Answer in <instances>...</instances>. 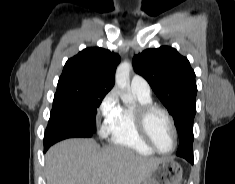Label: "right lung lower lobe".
<instances>
[{"label":"right lung lower lobe","instance_id":"right-lung-lower-lobe-1","mask_svg":"<svg viewBox=\"0 0 235 184\" xmlns=\"http://www.w3.org/2000/svg\"><path fill=\"white\" fill-rule=\"evenodd\" d=\"M85 128L76 121L66 117L64 114L53 113L51 111L50 120L44 136V152L66 133L82 134Z\"/></svg>","mask_w":235,"mask_h":184}]
</instances>
